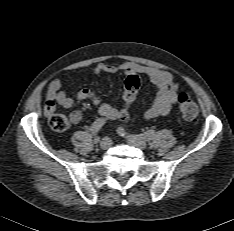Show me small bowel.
Here are the masks:
<instances>
[{
	"label": "small bowel",
	"instance_id": "small-bowel-1",
	"mask_svg": "<svg viewBox=\"0 0 234 231\" xmlns=\"http://www.w3.org/2000/svg\"><path fill=\"white\" fill-rule=\"evenodd\" d=\"M122 72L126 75L134 72H143L156 86L157 92L152 105L144 114L145 120H151L159 116H166L170 113L172 107L177 103L179 95V84L175 81L174 76L165 70H161L155 67H147L137 64L135 62H123L121 64H97L92 73L94 75L100 74H117ZM78 100H89L98 109V112L105 122H110L118 119L119 111L116 107L102 100V98L90 88H81L76 93ZM56 105H60L65 108H69L73 105V99L69 97L63 90L62 80L59 78L53 79L46 92V101L44 106V112L46 115H51L56 108ZM71 122L74 124L79 123L82 120L81 111H74L70 114Z\"/></svg>",
	"mask_w": 234,
	"mask_h": 231
}]
</instances>
